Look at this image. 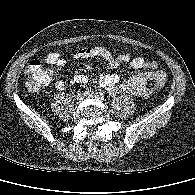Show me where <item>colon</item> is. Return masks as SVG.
I'll return each mask as SVG.
<instances>
[{
  "label": "colon",
  "instance_id": "obj_1",
  "mask_svg": "<svg viewBox=\"0 0 195 195\" xmlns=\"http://www.w3.org/2000/svg\"><path fill=\"white\" fill-rule=\"evenodd\" d=\"M25 74L27 79V87L31 91H36L51 80L53 76V70L43 66L40 61L33 60L26 66ZM166 82V74L161 75L155 80V87L162 88L165 86Z\"/></svg>",
  "mask_w": 195,
  "mask_h": 195
}]
</instances>
